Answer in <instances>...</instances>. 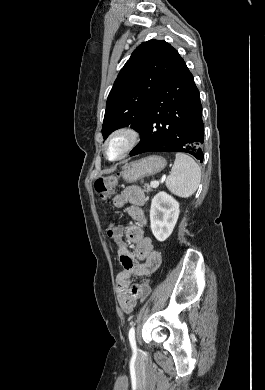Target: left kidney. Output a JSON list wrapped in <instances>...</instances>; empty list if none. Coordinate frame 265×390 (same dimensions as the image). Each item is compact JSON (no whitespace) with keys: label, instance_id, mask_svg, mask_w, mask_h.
I'll list each match as a JSON object with an SVG mask.
<instances>
[{"label":"left kidney","instance_id":"obj_1","mask_svg":"<svg viewBox=\"0 0 265 390\" xmlns=\"http://www.w3.org/2000/svg\"><path fill=\"white\" fill-rule=\"evenodd\" d=\"M179 203L166 192H159L151 202L150 222L155 238L163 242L172 233L178 217Z\"/></svg>","mask_w":265,"mask_h":390}]
</instances>
